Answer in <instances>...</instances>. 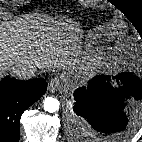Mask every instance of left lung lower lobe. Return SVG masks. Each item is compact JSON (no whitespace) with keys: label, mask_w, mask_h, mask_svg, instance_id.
Returning a JSON list of instances; mask_svg holds the SVG:
<instances>
[{"label":"left lung lower lobe","mask_w":142,"mask_h":142,"mask_svg":"<svg viewBox=\"0 0 142 142\" xmlns=\"http://www.w3.org/2000/svg\"><path fill=\"white\" fill-rule=\"evenodd\" d=\"M73 111L86 120L103 141H120L127 134L125 108L129 100L142 99V82L130 73L98 75L87 87L74 92Z\"/></svg>","instance_id":"1"}]
</instances>
